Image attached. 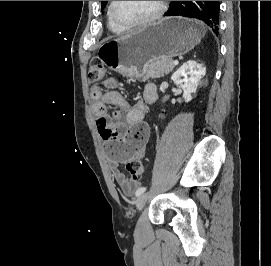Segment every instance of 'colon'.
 Segmentation results:
<instances>
[{"mask_svg": "<svg viewBox=\"0 0 271 266\" xmlns=\"http://www.w3.org/2000/svg\"><path fill=\"white\" fill-rule=\"evenodd\" d=\"M105 76V68L97 59L92 60L89 71L88 79L90 82L101 80ZM125 171L131 176L132 180L139 182L144 175L145 167L141 160L133 159L128 161L125 166Z\"/></svg>", "mask_w": 271, "mask_h": 266, "instance_id": "obj_1", "label": "colon"}]
</instances>
